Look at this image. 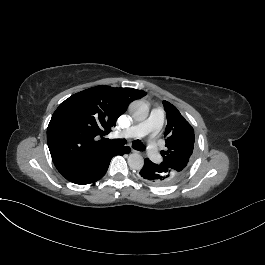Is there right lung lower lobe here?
<instances>
[{
  "instance_id": "98d812e1",
  "label": "right lung lower lobe",
  "mask_w": 265,
  "mask_h": 265,
  "mask_svg": "<svg viewBox=\"0 0 265 265\" xmlns=\"http://www.w3.org/2000/svg\"><path fill=\"white\" fill-rule=\"evenodd\" d=\"M129 152H130V148L127 146L113 150V152L105 159V161L101 164L99 169L94 174H92L86 180L76 183V184H90V183L96 182L97 180H99L105 175L109 167L110 161L114 156L128 154Z\"/></svg>"
}]
</instances>
